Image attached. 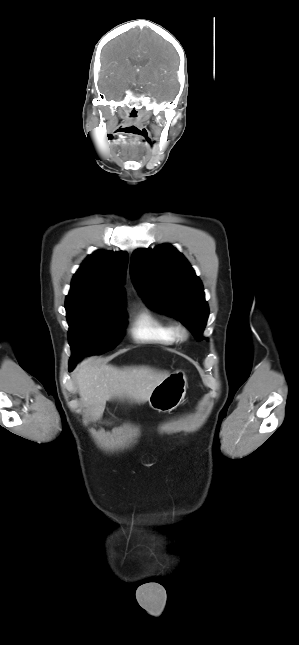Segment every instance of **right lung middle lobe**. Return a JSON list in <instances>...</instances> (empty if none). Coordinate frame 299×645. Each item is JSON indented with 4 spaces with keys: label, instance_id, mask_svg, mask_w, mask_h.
<instances>
[{
    "label": "right lung middle lobe",
    "instance_id": "right-lung-middle-lobe-1",
    "mask_svg": "<svg viewBox=\"0 0 299 645\" xmlns=\"http://www.w3.org/2000/svg\"><path fill=\"white\" fill-rule=\"evenodd\" d=\"M72 351L70 368L84 356L114 348L124 334L126 315L123 306L65 305Z\"/></svg>",
    "mask_w": 299,
    "mask_h": 645
}]
</instances>
